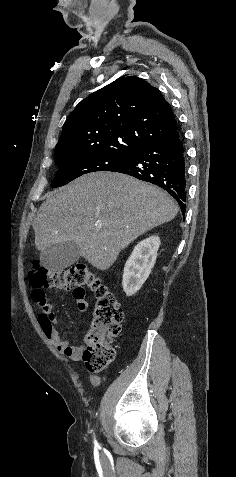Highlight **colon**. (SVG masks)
<instances>
[{"label": "colon", "mask_w": 236, "mask_h": 477, "mask_svg": "<svg viewBox=\"0 0 236 477\" xmlns=\"http://www.w3.org/2000/svg\"><path fill=\"white\" fill-rule=\"evenodd\" d=\"M32 297L41 298L46 289H73L84 294L94 292L95 305L85 337L84 361L87 368L98 372L112 363L115 357L114 340L119 336L124 312L115 295L109 291L85 264H76L65 270L48 271L34 265L28 274Z\"/></svg>", "instance_id": "5ec220e1"}]
</instances>
